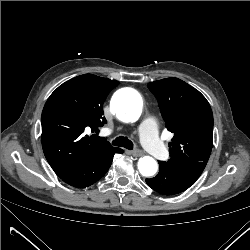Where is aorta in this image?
<instances>
[{
  "mask_svg": "<svg viewBox=\"0 0 250 250\" xmlns=\"http://www.w3.org/2000/svg\"><path fill=\"white\" fill-rule=\"evenodd\" d=\"M112 113L120 116L126 121H135L142 112V99L133 89H122L118 91L111 100ZM138 169L141 175L153 176L158 169L157 162L150 156L139 159Z\"/></svg>",
  "mask_w": 250,
  "mask_h": 250,
  "instance_id": "762f6f07",
  "label": "aorta"
}]
</instances>
